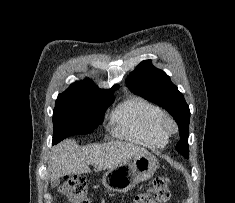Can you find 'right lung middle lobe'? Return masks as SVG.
<instances>
[{
	"instance_id": "right-lung-middle-lobe-1",
	"label": "right lung middle lobe",
	"mask_w": 235,
	"mask_h": 203,
	"mask_svg": "<svg viewBox=\"0 0 235 203\" xmlns=\"http://www.w3.org/2000/svg\"><path fill=\"white\" fill-rule=\"evenodd\" d=\"M113 101V94H59L53 111V144L72 135L93 132L102 123L104 113Z\"/></svg>"
}]
</instances>
